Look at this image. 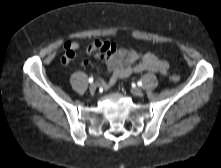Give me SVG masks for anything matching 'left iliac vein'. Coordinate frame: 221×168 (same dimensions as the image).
<instances>
[{
    "instance_id": "obj_1",
    "label": "left iliac vein",
    "mask_w": 221,
    "mask_h": 168,
    "mask_svg": "<svg viewBox=\"0 0 221 168\" xmlns=\"http://www.w3.org/2000/svg\"><path fill=\"white\" fill-rule=\"evenodd\" d=\"M131 93L135 96H142L143 95V91L140 88H137V87L133 88L131 90Z\"/></svg>"
}]
</instances>
